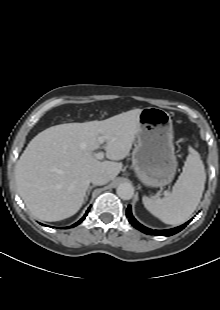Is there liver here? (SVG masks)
I'll return each mask as SVG.
<instances>
[{
	"label": "liver",
	"mask_w": 220,
	"mask_h": 310,
	"mask_svg": "<svg viewBox=\"0 0 220 310\" xmlns=\"http://www.w3.org/2000/svg\"><path fill=\"white\" fill-rule=\"evenodd\" d=\"M142 109H133L102 121L66 123L36 135L17 161L15 179L26 207L43 221H60L81 208L91 177L105 174L115 179L129 155L139 129ZM104 137L106 157L94 151Z\"/></svg>",
	"instance_id": "6515ba94"
}]
</instances>
